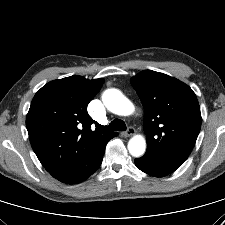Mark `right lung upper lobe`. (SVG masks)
<instances>
[{"mask_svg":"<svg viewBox=\"0 0 225 225\" xmlns=\"http://www.w3.org/2000/svg\"><path fill=\"white\" fill-rule=\"evenodd\" d=\"M103 79L70 76L44 85L34 96L26 117L31 146L56 179L93 163L99 148L117 133L106 132L87 113ZM95 124L96 129L91 130Z\"/></svg>","mask_w":225,"mask_h":225,"instance_id":"right-lung-upper-lobe-1","label":"right lung upper lobe"}]
</instances>
